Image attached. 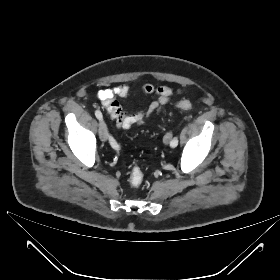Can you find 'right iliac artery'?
<instances>
[{
	"label": "right iliac artery",
	"instance_id": "1",
	"mask_svg": "<svg viewBox=\"0 0 280 280\" xmlns=\"http://www.w3.org/2000/svg\"><path fill=\"white\" fill-rule=\"evenodd\" d=\"M95 116L97 117L98 120H102L103 119L102 113L99 110L95 111ZM109 139H110L111 146L118 150L120 148V146L118 145L116 140L113 137H111V136H109Z\"/></svg>",
	"mask_w": 280,
	"mask_h": 280
}]
</instances>
